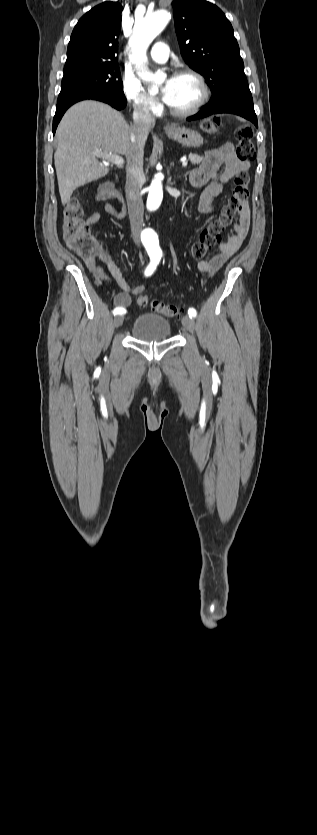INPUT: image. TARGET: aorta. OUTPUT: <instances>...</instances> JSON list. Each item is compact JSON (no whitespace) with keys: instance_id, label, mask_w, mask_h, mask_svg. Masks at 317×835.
<instances>
[{"instance_id":"aorta-1","label":"aorta","mask_w":317,"mask_h":835,"mask_svg":"<svg viewBox=\"0 0 317 835\" xmlns=\"http://www.w3.org/2000/svg\"><path fill=\"white\" fill-rule=\"evenodd\" d=\"M171 12L167 9H158L141 18L134 26L132 36L129 39L131 47L130 61L136 66L137 74L145 82L152 83L153 88L164 81V73H152L146 66L148 62L147 49L155 37L162 31L170 21ZM163 199L162 179L155 175L150 185L147 199V209L156 210ZM145 235L149 241L157 245L156 232L152 228H146Z\"/></svg>"}]
</instances>
